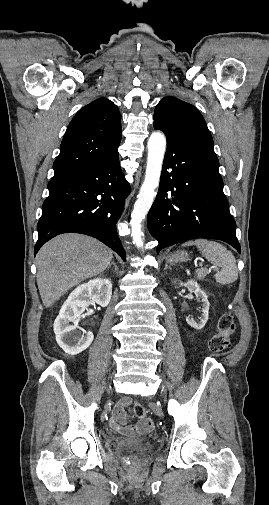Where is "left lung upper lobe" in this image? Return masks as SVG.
<instances>
[{"instance_id": "obj_1", "label": "left lung upper lobe", "mask_w": 269, "mask_h": 505, "mask_svg": "<svg viewBox=\"0 0 269 505\" xmlns=\"http://www.w3.org/2000/svg\"><path fill=\"white\" fill-rule=\"evenodd\" d=\"M154 121L164 126L198 132L213 140L201 113L193 105L175 97H165L157 104Z\"/></svg>"}]
</instances>
